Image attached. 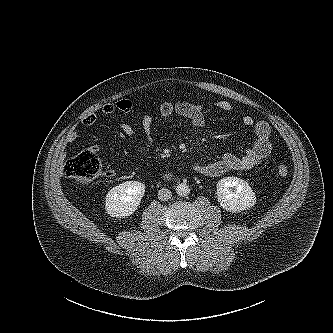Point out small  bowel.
<instances>
[{"label":"small bowel","mask_w":333,"mask_h":333,"mask_svg":"<svg viewBox=\"0 0 333 333\" xmlns=\"http://www.w3.org/2000/svg\"><path fill=\"white\" fill-rule=\"evenodd\" d=\"M214 106L222 112L230 113L233 111V106L228 101H217ZM132 107L133 104L130 100L121 99L114 103L105 104L102 107V112L107 115L127 113ZM158 113L159 117L163 120L170 118L174 114L182 116L192 127H202L206 121L203 106L186 100L164 101L159 105ZM96 120L97 117L95 114H89L82 119V124L90 126L93 125ZM240 121L243 126L253 129L256 137L254 144L247 148L240 156L227 153L210 163L196 162L193 165V169L196 172L210 177H217L229 171L252 169L270 156L272 152L270 125L266 121H256L250 115L242 116ZM140 125L144 141H135V149L140 154H148L153 148L155 121L151 115L143 114L140 119ZM119 130L130 138L136 137V131L130 124H120ZM76 139L77 133L75 131H70L67 134L65 141L67 144H70ZM92 149L96 151L98 150V147L94 146ZM113 174V171L108 172V175Z\"/></svg>","instance_id":"1"}]
</instances>
